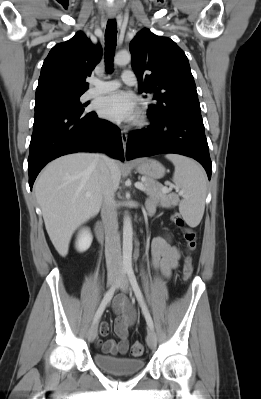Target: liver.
I'll return each mask as SVG.
<instances>
[{
	"label": "liver",
	"mask_w": 261,
	"mask_h": 399,
	"mask_svg": "<svg viewBox=\"0 0 261 399\" xmlns=\"http://www.w3.org/2000/svg\"><path fill=\"white\" fill-rule=\"evenodd\" d=\"M107 166L102 155L75 153L49 163L34 185L47 233L57 252L65 257L74 231L100 210ZM109 171L116 190L121 179L117 161Z\"/></svg>",
	"instance_id": "obj_1"
}]
</instances>
